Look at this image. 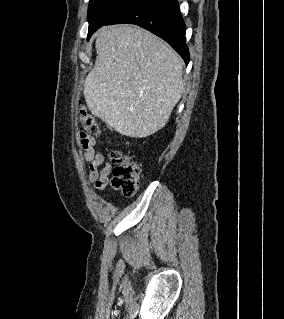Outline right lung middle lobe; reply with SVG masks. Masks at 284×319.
Returning a JSON list of instances; mask_svg holds the SVG:
<instances>
[{
  "mask_svg": "<svg viewBox=\"0 0 284 319\" xmlns=\"http://www.w3.org/2000/svg\"><path fill=\"white\" fill-rule=\"evenodd\" d=\"M134 0H90L88 8V39L112 16L131 4Z\"/></svg>",
  "mask_w": 284,
  "mask_h": 319,
  "instance_id": "1",
  "label": "right lung middle lobe"
}]
</instances>
